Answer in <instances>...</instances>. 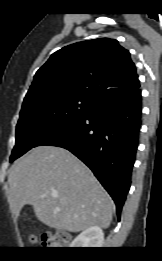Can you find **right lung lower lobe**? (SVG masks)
I'll list each match as a JSON object with an SVG mask.
<instances>
[{
    "label": "right lung lower lobe",
    "mask_w": 162,
    "mask_h": 261,
    "mask_svg": "<svg viewBox=\"0 0 162 261\" xmlns=\"http://www.w3.org/2000/svg\"><path fill=\"white\" fill-rule=\"evenodd\" d=\"M141 114L139 87L122 91L97 101L92 111L52 130L36 146L62 147L82 160L113 198L120 219L131 185Z\"/></svg>",
    "instance_id": "1"
}]
</instances>
